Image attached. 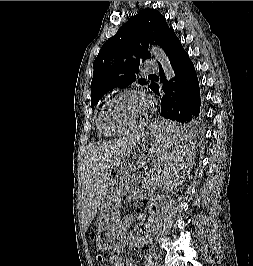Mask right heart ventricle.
Listing matches in <instances>:
<instances>
[{
  "label": "right heart ventricle",
  "mask_w": 253,
  "mask_h": 266,
  "mask_svg": "<svg viewBox=\"0 0 253 266\" xmlns=\"http://www.w3.org/2000/svg\"><path fill=\"white\" fill-rule=\"evenodd\" d=\"M96 129H97V135L101 138H105L107 137L108 135L104 134L101 129H100V126H99V123H98V116L96 117Z\"/></svg>",
  "instance_id": "e07e8e85"
}]
</instances>
